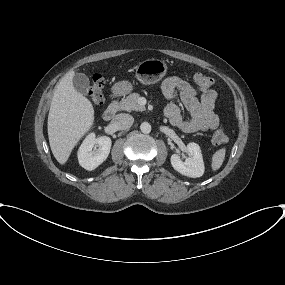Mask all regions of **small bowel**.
Wrapping results in <instances>:
<instances>
[{
  "label": "small bowel",
  "mask_w": 285,
  "mask_h": 285,
  "mask_svg": "<svg viewBox=\"0 0 285 285\" xmlns=\"http://www.w3.org/2000/svg\"><path fill=\"white\" fill-rule=\"evenodd\" d=\"M162 93L169 101L165 115L169 121L185 132L214 130L219 126V118L214 112L217 92L206 89L198 95L196 89L184 79L171 76L162 83ZM178 93L182 104L190 113L191 118L184 120L179 106L173 101Z\"/></svg>",
  "instance_id": "small-bowel-1"
}]
</instances>
